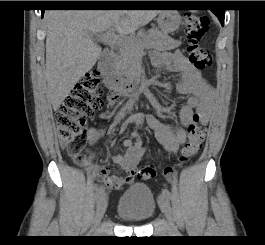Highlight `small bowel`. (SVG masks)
<instances>
[{
  "instance_id": "1",
  "label": "small bowel",
  "mask_w": 265,
  "mask_h": 245,
  "mask_svg": "<svg viewBox=\"0 0 265 245\" xmlns=\"http://www.w3.org/2000/svg\"><path fill=\"white\" fill-rule=\"evenodd\" d=\"M151 61L155 68H161L166 72L178 73L180 79L176 82L175 89L179 94L187 96L185 103L180 109V124L174 129L155 114H148L146 116V121L155 132L159 142L167 151L175 153L187 140V133L193 124L195 111L209 105L214 95V88L202 77L201 72L191 65L178 50L164 54L153 53ZM110 99L114 105L119 103L118 96L113 95ZM153 104L158 108V104L155 101ZM133 105L134 100L129 99L124 106L123 112L118 115V118L121 119L124 112L131 111ZM138 119V115L130 116L124 121L120 131L123 132L130 123ZM100 136L101 131L92 129L89 133L90 144H95ZM123 145L126 148L125 155L117 154L113 156L112 160L126 171L124 176L111 175L106 168L95 164L93 161L94 152H90L84 161L86 173L97 181L103 182L110 190H119L123 185L134 181L136 166L145 151L138 137L135 140L130 138L125 139Z\"/></svg>"
}]
</instances>
